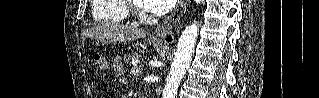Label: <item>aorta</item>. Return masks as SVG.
Segmentation results:
<instances>
[{"label": "aorta", "mask_w": 319, "mask_h": 98, "mask_svg": "<svg viewBox=\"0 0 319 98\" xmlns=\"http://www.w3.org/2000/svg\"><path fill=\"white\" fill-rule=\"evenodd\" d=\"M196 2L202 3L203 0H196ZM197 36L198 26L195 23L188 25L182 32L178 41L175 58L167 77L163 98H175L178 86L190 65Z\"/></svg>", "instance_id": "1"}]
</instances>
